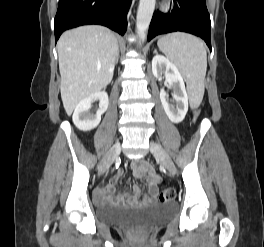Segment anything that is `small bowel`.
Instances as JSON below:
<instances>
[{
	"label": "small bowel",
	"mask_w": 264,
	"mask_h": 247,
	"mask_svg": "<svg viewBox=\"0 0 264 247\" xmlns=\"http://www.w3.org/2000/svg\"><path fill=\"white\" fill-rule=\"evenodd\" d=\"M131 169L133 175L136 178L146 179L149 185V189H148V194L145 197H143L140 190L137 187H135L134 194L128 198L129 201L136 202V201H141L143 199L146 201H153L158 193V186L160 182L158 175L155 173V171L152 169L149 163L144 160H138L133 162L131 165ZM122 175L123 172L119 171L116 177H114L107 186L99 188L94 194L95 200L98 202H108V201L119 202L126 199L125 194H119L117 196L113 195L118 180L122 177Z\"/></svg>",
	"instance_id": "small-bowel-1"
}]
</instances>
